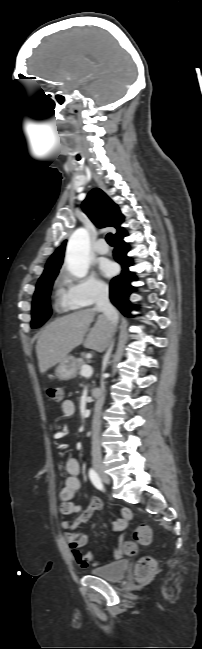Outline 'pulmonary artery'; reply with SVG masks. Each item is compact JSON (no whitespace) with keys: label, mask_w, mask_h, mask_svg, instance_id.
I'll return each mask as SVG.
<instances>
[{"label":"pulmonary artery","mask_w":202,"mask_h":649,"mask_svg":"<svg viewBox=\"0 0 202 649\" xmlns=\"http://www.w3.org/2000/svg\"><path fill=\"white\" fill-rule=\"evenodd\" d=\"M96 253L100 255H105L108 253L109 248L104 239H99L95 245Z\"/></svg>","instance_id":"pulmonary-artery-1"}]
</instances>
